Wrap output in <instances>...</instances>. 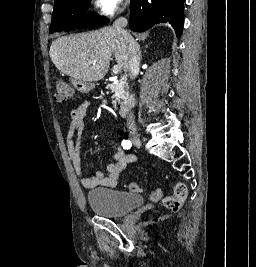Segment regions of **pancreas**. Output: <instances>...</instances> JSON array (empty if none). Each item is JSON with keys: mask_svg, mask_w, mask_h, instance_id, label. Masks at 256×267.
<instances>
[{"mask_svg": "<svg viewBox=\"0 0 256 267\" xmlns=\"http://www.w3.org/2000/svg\"><path fill=\"white\" fill-rule=\"evenodd\" d=\"M107 88L112 90L113 98H115V100H112L113 104L119 102V104L124 106V102H121V100H125L126 98L125 92L128 90V84H126V80H119L117 84H108Z\"/></svg>", "mask_w": 256, "mask_h": 267, "instance_id": "cf45deb5", "label": "pancreas"}]
</instances>
